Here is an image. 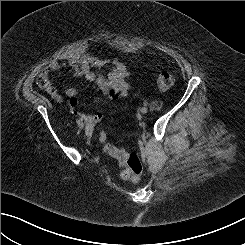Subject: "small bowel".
<instances>
[{
	"mask_svg": "<svg viewBox=\"0 0 245 245\" xmlns=\"http://www.w3.org/2000/svg\"><path fill=\"white\" fill-rule=\"evenodd\" d=\"M106 61L101 58H96L88 55H81L70 60L67 63L53 60L49 63L44 74L47 75L48 70L57 71L61 68L67 67L74 76H83L88 81L95 83L101 92L106 95L111 101L119 98H124L129 92V72L126 66L120 61H114L111 70L107 74L97 72ZM51 97L61 102L63 100L61 94L55 89L48 90ZM65 95L69 98V108L73 115L82 119L89 127H93L102 120L101 114H85L78 109V90L73 87L65 89Z\"/></svg>",
	"mask_w": 245,
	"mask_h": 245,
	"instance_id": "c3829d8e",
	"label": "small bowel"
}]
</instances>
